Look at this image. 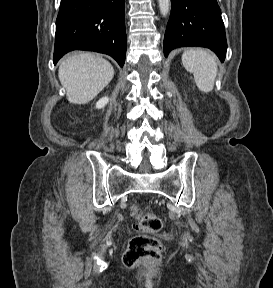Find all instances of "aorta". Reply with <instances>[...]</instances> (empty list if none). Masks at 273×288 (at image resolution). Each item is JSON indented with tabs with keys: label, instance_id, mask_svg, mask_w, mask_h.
<instances>
[{
	"label": "aorta",
	"instance_id": "aorta-1",
	"mask_svg": "<svg viewBox=\"0 0 273 288\" xmlns=\"http://www.w3.org/2000/svg\"><path fill=\"white\" fill-rule=\"evenodd\" d=\"M161 14L165 17L170 13L171 0H158Z\"/></svg>",
	"mask_w": 273,
	"mask_h": 288
}]
</instances>
